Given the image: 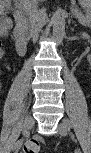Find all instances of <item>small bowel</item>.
Listing matches in <instances>:
<instances>
[{"label": "small bowel", "instance_id": "1", "mask_svg": "<svg viewBox=\"0 0 91 153\" xmlns=\"http://www.w3.org/2000/svg\"><path fill=\"white\" fill-rule=\"evenodd\" d=\"M0 35H1L2 37L6 36V35H7V30H5V29H3V28L1 27V29H0Z\"/></svg>", "mask_w": 91, "mask_h": 153}]
</instances>
